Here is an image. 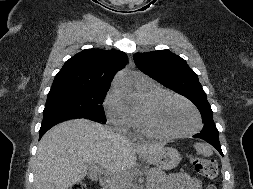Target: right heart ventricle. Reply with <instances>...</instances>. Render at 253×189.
Masks as SVG:
<instances>
[{
  "label": "right heart ventricle",
  "instance_id": "1",
  "mask_svg": "<svg viewBox=\"0 0 253 189\" xmlns=\"http://www.w3.org/2000/svg\"><path fill=\"white\" fill-rule=\"evenodd\" d=\"M136 90L141 99V104L138 106L130 107L131 112V124L136 129L142 131L141 128V113L145 104L151 100L154 96L164 92L163 89L158 87L152 82H141L136 84Z\"/></svg>",
  "mask_w": 253,
  "mask_h": 189
}]
</instances>
